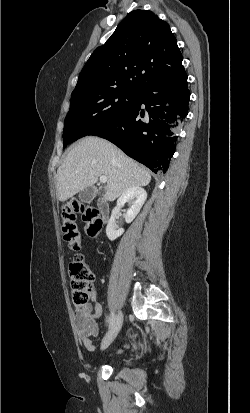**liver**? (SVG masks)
<instances>
[{"instance_id": "1", "label": "liver", "mask_w": 250, "mask_h": 413, "mask_svg": "<svg viewBox=\"0 0 250 413\" xmlns=\"http://www.w3.org/2000/svg\"><path fill=\"white\" fill-rule=\"evenodd\" d=\"M100 176H106L104 199L113 201L130 187L147 186L150 172L125 155L111 142L87 136L68 152L56 174V193L61 202L92 187Z\"/></svg>"}]
</instances>
